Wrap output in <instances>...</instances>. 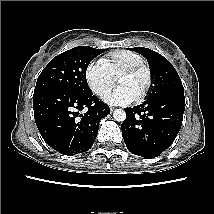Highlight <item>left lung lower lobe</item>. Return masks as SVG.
Returning <instances> with one entry per match:
<instances>
[{"label": "left lung lower lobe", "instance_id": "1", "mask_svg": "<svg viewBox=\"0 0 214 214\" xmlns=\"http://www.w3.org/2000/svg\"><path fill=\"white\" fill-rule=\"evenodd\" d=\"M121 125L128 150L144 158L158 157L175 140L185 110L184 91H171L125 108Z\"/></svg>", "mask_w": 214, "mask_h": 214}]
</instances>
